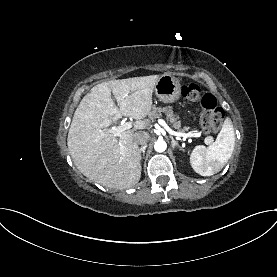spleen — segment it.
Listing matches in <instances>:
<instances>
[{"mask_svg":"<svg viewBox=\"0 0 277 277\" xmlns=\"http://www.w3.org/2000/svg\"><path fill=\"white\" fill-rule=\"evenodd\" d=\"M235 146V133L230 118H226L215 142L205 147L196 146L191 155L190 163L194 171L201 176L218 173L230 159Z\"/></svg>","mask_w":277,"mask_h":277,"instance_id":"spleen-1","label":"spleen"}]
</instances>
